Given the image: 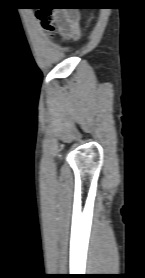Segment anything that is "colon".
Here are the masks:
<instances>
[{
	"instance_id": "5ec220e1",
	"label": "colon",
	"mask_w": 145,
	"mask_h": 278,
	"mask_svg": "<svg viewBox=\"0 0 145 278\" xmlns=\"http://www.w3.org/2000/svg\"><path fill=\"white\" fill-rule=\"evenodd\" d=\"M36 13L37 18L42 28L47 32H52L55 27V11H83L84 8H88L87 5L79 3V0H63L62 3L56 5H49L40 7ZM69 24L66 26L68 30H74L77 27V22L73 16L69 18Z\"/></svg>"
}]
</instances>
